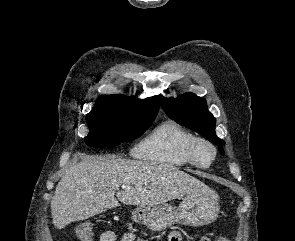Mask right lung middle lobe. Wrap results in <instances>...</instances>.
<instances>
[{"mask_svg": "<svg viewBox=\"0 0 295 241\" xmlns=\"http://www.w3.org/2000/svg\"><path fill=\"white\" fill-rule=\"evenodd\" d=\"M156 115L105 97L97 99L86 115L90 132L85 142L91 147H112L140 137Z\"/></svg>", "mask_w": 295, "mask_h": 241, "instance_id": "dd1d6c3e", "label": "right lung middle lobe"}]
</instances>
